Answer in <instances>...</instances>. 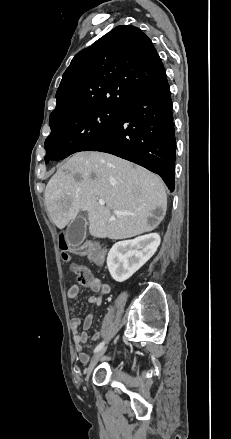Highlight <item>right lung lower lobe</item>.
<instances>
[{
    "instance_id": "98d812e1",
    "label": "right lung lower lobe",
    "mask_w": 231,
    "mask_h": 439,
    "mask_svg": "<svg viewBox=\"0 0 231 439\" xmlns=\"http://www.w3.org/2000/svg\"><path fill=\"white\" fill-rule=\"evenodd\" d=\"M175 128L168 82L139 95L122 110L118 122L83 151H101L141 165L175 187Z\"/></svg>"
}]
</instances>
